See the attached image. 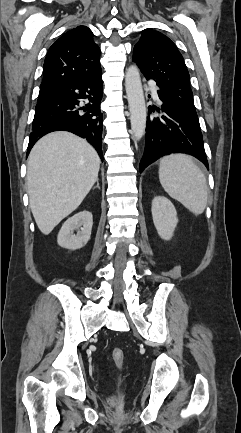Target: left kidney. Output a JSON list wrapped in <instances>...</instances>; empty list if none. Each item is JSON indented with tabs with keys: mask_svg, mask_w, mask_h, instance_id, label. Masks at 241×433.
<instances>
[{
	"mask_svg": "<svg viewBox=\"0 0 241 433\" xmlns=\"http://www.w3.org/2000/svg\"><path fill=\"white\" fill-rule=\"evenodd\" d=\"M151 212L158 235L164 240H170L178 223L172 202L165 197L156 196L152 200Z\"/></svg>",
	"mask_w": 241,
	"mask_h": 433,
	"instance_id": "5707ae66",
	"label": "left kidney"
}]
</instances>
